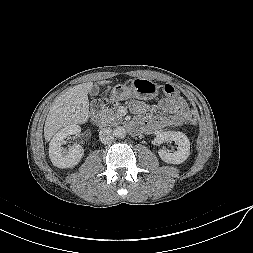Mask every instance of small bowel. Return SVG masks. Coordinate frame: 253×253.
Masks as SVG:
<instances>
[{
	"mask_svg": "<svg viewBox=\"0 0 253 253\" xmlns=\"http://www.w3.org/2000/svg\"><path fill=\"white\" fill-rule=\"evenodd\" d=\"M159 108L163 116H146L149 107L140 101H132L130 110L136 116V120L130 127L136 129L141 125L148 133H157L168 127L181 126L191 114L186 101L181 97L166 98L160 102Z\"/></svg>",
	"mask_w": 253,
	"mask_h": 253,
	"instance_id": "1",
	"label": "small bowel"
}]
</instances>
